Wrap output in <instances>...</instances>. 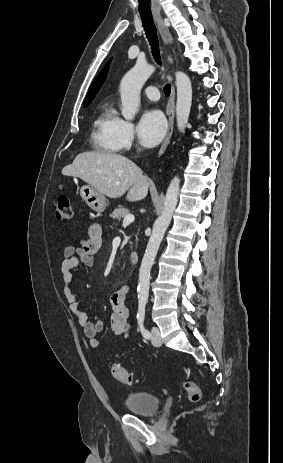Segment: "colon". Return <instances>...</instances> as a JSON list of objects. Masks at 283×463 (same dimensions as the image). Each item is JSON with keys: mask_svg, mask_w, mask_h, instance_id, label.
<instances>
[{"mask_svg": "<svg viewBox=\"0 0 283 463\" xmlns=\"http://www.w3.org/2000/svg\"><path fill=\"white\" fill-rule=\"evenodd\" d=\"M56 217L60 221H70L73 218V209L71 200L68 196H60L57 200ZM113 377L123 384L131 385L134 383L132 375L123 367L114 365L111 369ZM183 389L189 402H198L201 397V391L197 384L190 380L182 382Z\"/></svg>", "mask_w": 283, "mask_h": 463, "instance_id": "1", "label": "colon"}]
</instances>
